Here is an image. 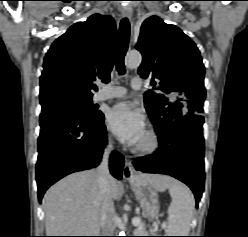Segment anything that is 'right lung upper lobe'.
Here are the masks:
<instances>
[{
  "label": "right lung upper lobe",
  "instance_id": "obj_1",
  "mask_svg": "<svg viewBox=\"0 0 248 237\" xmlns=\"http://www.w3.org/2000/svg\"><path fill=\"white\" fill-rule=\"evenodd\" d=\"M116 25L111 16L94 14L72 25L53 42L40 77V103L57 98L92 99L93 82L110 81Z\"/></svg>",
  "mask_w": 248,
  "mask_h": 237
}]
</instances>
